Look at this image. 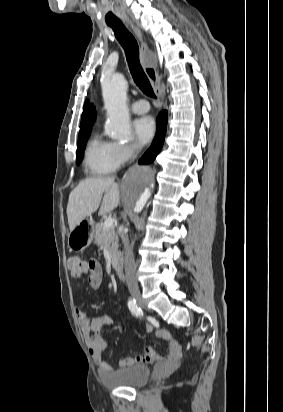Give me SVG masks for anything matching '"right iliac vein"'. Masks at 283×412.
Listing matches in <instances>:
<instances>
[{
    "instance_id": "1",
    "label": "right iliac vein",
    "mask_w": 283,
    "mask_h": 412,
    "mask_svg": "<svg viewBox=\"0 0 283 412\" xmlns=\"http://www.w3.org/2000/svg\"><path fill=\"white\" fill-rule=\"evenodd\" d=\"M130 294L132 295V297L137 301V303L141 306L144 307L145 303L144 300L142 298L141 292L139 288H132L130 289Z\"/></svg>"
}]
</instances>
